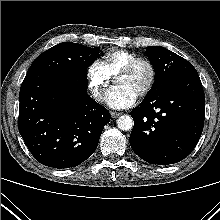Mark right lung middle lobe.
<instances>
[{
	"instance_id": "dd1d6c3e",
	"label": "right lung middle lobe",
	"mask_w": 220,
	"mask_h": 220,
	"mask_svg": "<svg viewBox=\"0 0 220 220\" xmlns=\"http://www.w3.org/2000/svg\"><path fill=\"white\" fill-rule=\"evenodd\" d=\"M99 49L72 42L60 43L39 55L26 75L46 72L86 73V69L98 58Z\"/></svg>"
}]
</instances>
